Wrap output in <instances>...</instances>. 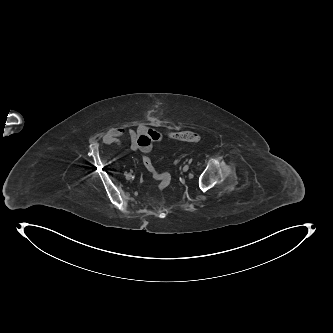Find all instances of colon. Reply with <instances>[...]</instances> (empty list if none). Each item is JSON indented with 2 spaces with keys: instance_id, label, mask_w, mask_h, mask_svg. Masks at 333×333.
Returning <instances> with one entry per match:
<instances>
[{
  "instance_id": "5ec220e1",
  "label": "colon",
  "mask_w": 333,
  "mask_h": 333,
  "mask_svg": "<svg viewBox=\"0 0 333 333\" xmlns=\"http://www.w3.org/2000/svg\"><path fill=\"white\" fill-rule=\"evenodd\" d=\"M168 136L172 140L185 141L190 143H198L200 141L199 134L192 131L172 132L169 133ZM143 163L147 170L152 174V177L156 180L158 189H167L171 183L170 175L167 173L158 172L153 166L149 156L143 157Z\"/></svg>"
}]
</instances>
